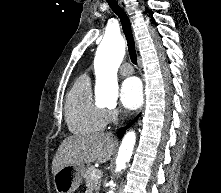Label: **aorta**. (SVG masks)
Returning a JSON list of instances; mask_svg holds the SVG:
<instances>
[{"instance_id": "762f6f07", "label": "aorta", "mask_w": 221, "mask_h": 193, "mask_svg": "<svg viewBox=\"0 0 221 193\" xmlns=\"http://www.w3.org/2000/svg\"><path fill=\"white\" fill-rule=\"evenodd\" d=\"M125 54V42L120 35L106 36L100 43L96 54V69L99 73L95 93L106 103L115 102L118 97V84L115 71L123 60ZM136 135L133 131L125 134L119 148L116 159V172L123 170L129 162ZM115 184L110 181V190L107 193H114Z\"/></svg>"}]
</instances>
